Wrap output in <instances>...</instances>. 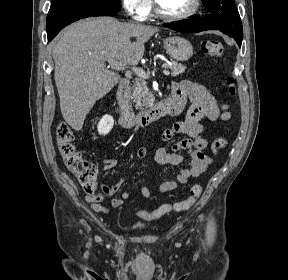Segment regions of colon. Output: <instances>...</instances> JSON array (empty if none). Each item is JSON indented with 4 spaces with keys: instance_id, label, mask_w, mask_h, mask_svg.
<instances>
[{
    "instance_id": "colon-1",
    "label": "colon",
    "mask_w": 288,
    "mask_h": 280,
    "mask_svg": "<svg viewBox=\"0 0 288 280\" xmlns=\"http://www.w3.org/2000/svg\"><path fill=\"white\" fill-rule=\"evenodd\" d=\"M202 51L211 59H218L223 55L224 47L220 41L205 40L201 44ZM227 91L233 95L235 93V81L233 78L227 80ZM58 149L66 167L77 177L80 185L90 195H96L98 170L94 163L85 159L74 144V132L71 127L60 122L56 129ZM226 145L224 138L216 141V148L222 149ZM202 187L194 184L190 188L187 199L173 203L163 204L153 211L138 210L136 215L144 220H156L171 211L182 212L190 209L200 198Z\"/></svg>"
}]
</instances>
